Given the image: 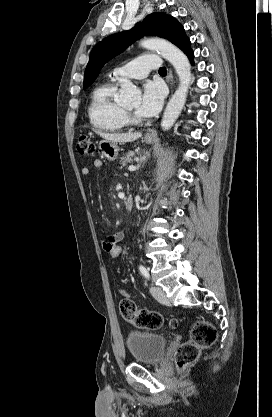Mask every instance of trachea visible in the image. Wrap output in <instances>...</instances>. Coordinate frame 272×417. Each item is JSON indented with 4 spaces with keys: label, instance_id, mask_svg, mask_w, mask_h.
Instances as JSON below:
<instances>
[{
    "label": "trachea",
    "instance_id": "1",
    "mask_svg": "<svg viewBox=\"0 0 272 417\" xmlns=\"http://www.w3.org/2000/svg\"><path fill=\"white\" fill-rule=\"evenodd\" d=\"M159 73H166V68L165 67H161L159 69Z\"/></svg>",
    "mask_w": 272,
    "mask_h": 417
}]
</instances>
